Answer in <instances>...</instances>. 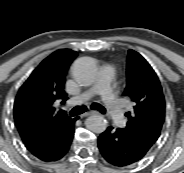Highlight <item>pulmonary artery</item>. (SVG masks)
<instances>
[{
  "label": "pulmonary artery",
  "mask_w": 184,
  "mask_h": 173,
  "mask_svg": "<svg viewBox=\"0 0 184 173\" xmlns=\"http://www.w3.org/2000/svg\"><path fill=\"white\" fill-rule=\"evenodd\" d=\"M92 91L93 93L100 95L112 120L117 124H122L124 120V113L114 93L111 71H105L101 75L99 84L94 87Z\"/></svg>",
  "instance_id": "e3ab8cb5"
}]
</instances>
